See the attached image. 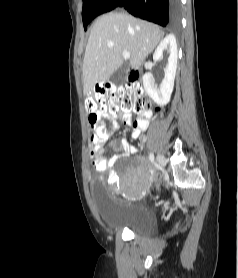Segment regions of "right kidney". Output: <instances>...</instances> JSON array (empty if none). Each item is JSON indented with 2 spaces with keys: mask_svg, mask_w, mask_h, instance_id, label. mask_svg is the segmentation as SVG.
I'll return each instance as SVG.
<instances>
[{
  "mask_svg": "<svg viewBox=\"0 0 238 278\" xmlns=\"http://www.w3.org/2000/svg\"><path fill=\"white\" fill-rule=\"evenodd\" d=\"M169 48L168 64L165 68V77L159 87L155 84L151 73L143 76V85L146 93L158 105H165L170 101L174 88V79L177 68L178 50L176 39L173 35L166 36L156 48L153 54V60L162 59L163 51Z\"/></svg>",
  "mask_w": 238,
  "mask_h": 278,
  "instance_id": "obj_1",
  "label": "right kidney"
}]
</instances>
